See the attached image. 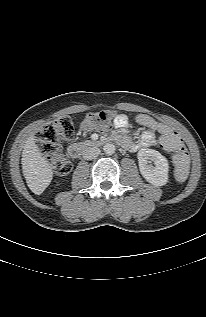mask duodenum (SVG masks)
I'll return each mask as SVG.
<instances>
[{
	"label": "duodenum",
	"mask_w": 206,
	"mask_h": 317,
	"mask_svg": "<svg viewBox=\"0 0 206 317\" xmlns=\"http://www.w3.org/2000/svg\"><path fill=\"white\" fill-rule=\"evenodd\" d=\"M109 140L119 141L120 138L116 135H113L109 138ZM93 144L94 143H84L82 145H72L69 147L68 152L73 158H80L84 150L90 148L91 146H93Z\"/></svg>",
	"instance_id": "410a0bca"
}]
</instances>
